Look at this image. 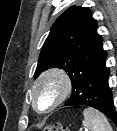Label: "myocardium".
<instances>
[{
	"label": "myocardium",
	"instance_id": "f54148a6",
	"mask_svg": "<svg viewBox=\"0 0 117 131\" xmlns=\"http://www.w3.org/2000/svg\"><path fill=\"white\" fill-rule=\"evenodd\" d=\"M52 82L57 85L58 93L54 102L46 109H39L37 105L36 94L38 90L45 84ZM72 90V82L70 77L62 69H49L43 72L33 83L30 91L31 104L39 113H49L60 106L70 95Z\"/></svg>",
	"mask_w": 117,
	"mask_h": 131
}]
</instances>
